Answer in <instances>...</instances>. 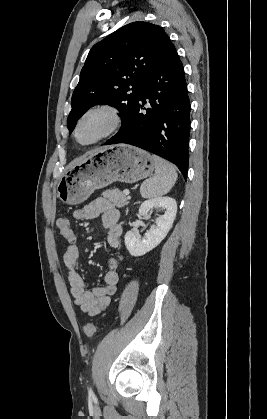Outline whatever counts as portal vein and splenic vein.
Here are the masks:
<instances>
[{
    "instance_id": "18ae733b",
    "label": "portal vein and splenic vein",
    "mask_w": 267,
    "mask_h": 419,
    "mask_svg": "<svg viewBox=\"0 0 267 419\" xmlns=\"http://www.w3.org/2000/svg\"><path fill=\"white\" fill-rule=\"evenodd\" d=\"M123 193H124V195H127V196L130 194L129 190H127V189H125V190L123 191Z\"/></svg>"
}]
</instances>
